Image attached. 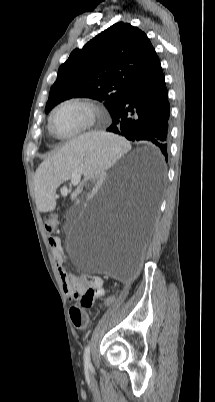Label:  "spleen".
<instances>
[{
    "mask_svg": "<svg viewBox=\"0 0 215 402\" xmlns=\"http://www.w3.org/2000/svg\"><path fill=\"white\" fill-rule=\"evenodd\" d=\"M130 144L124 139L106 133H84L67 143L50 160L42 163L38 172L36 196L41 211L57 210L58 202L52 195L59 183L74 173L95 175L110 167Z\"/></svg>",
    "mask_w": 215,
    "mask_h": 402,
    "instance_id": "1",
    "label": "spleen"
}]
</instances>
